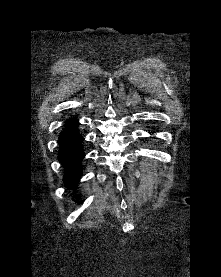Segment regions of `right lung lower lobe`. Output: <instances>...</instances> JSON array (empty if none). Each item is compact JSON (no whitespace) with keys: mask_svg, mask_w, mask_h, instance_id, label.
Segmentation results:
<instances>
[{"mask_svg":"<svg viewBox=\"0 0 221 277\" xmlns=\"http://www.w3.org/2000/svg\"><path fill=\"white\" fill-rule=\"evenodd\" d=\"M78 121L70 119L59 136L58 159L65 169L64 183L68 187H75L82 174L81 161L84 158L82 149L83 136L78 130Z\"/></svg>","mask_w":221,"mask_h":277,"instance_id":"98d812e1","label":"right lung lower lobe"}]
</instances>
